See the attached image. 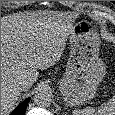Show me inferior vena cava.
Returning a JSON list of instances; mask_svg holds the SVG:
<instances>
[{
    "instance_id": "obj_1",
    "label": "inferior vena cava",
    "mask_w": 115,
    "mask_h": 115,
    "mask_svg": "<svg viewBox=\"0 0 115 115\" xmlns=\"http://www.w3.org/2000/svg\"><path fill=\"white\" fill-rule=\"evenodd\" d=\"M14 86H15L16 89L22 91L26 87V82L23 81V80H20V81H17Z\"/></svg>"
}]
</instances>
